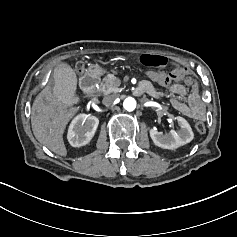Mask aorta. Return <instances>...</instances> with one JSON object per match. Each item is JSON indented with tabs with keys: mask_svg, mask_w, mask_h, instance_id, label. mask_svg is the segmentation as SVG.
<instances>
[{
	"mask_svg": "<svg viewBox=\"0 0 237 237\" xmlns=\"http://www.w3.org/2000/svg\"><path fill=\"white\" fill-rule=\"evenodd\" d=\"M123 107L127 111H133L136 108V100L133 97H127L123 102Z\"/></svg>",
	"mask_w": 237,
	"mask_h": 237,
	"instance_id": "aorta-1",
	"label": "aorta"
}]
</instances>
